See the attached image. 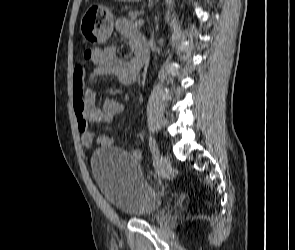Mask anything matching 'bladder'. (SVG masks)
I'll return each instance as SVG.
<instances>
[{
  "mask_svg": "<svg viewBox=\"0 0 295 250\" xmlns=\"http://www.w3.org/2000/svg\"><path fill=\"white\" fill-rule=\"evenodd\" d=\"M91 170L105 199L122 213L150 219L160 212L161 194L143 177L127 151L111 146L98 150L91 157Z\"/></svg>",
  "mask_w": 295,
  "mask_h": 250,
  "instance_id": "1",
  "label": "bladder"
}]
</instances>
